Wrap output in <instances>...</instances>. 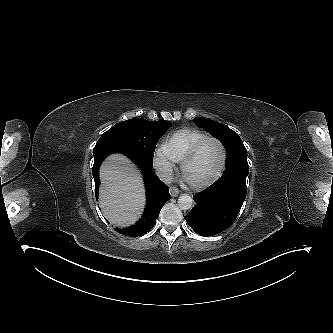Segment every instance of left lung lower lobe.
Wrapping results in <instances>:
<instances>
[{"label":"left lung lower lobe","instance_id":"left-lung-lower-lobe-1","mask_svg":"<svg viewBox=\"0 0 333 333\" xmlns=\"http://www.w3.org/2000/svg\"><path fill=\"white\" fill-rule=\"evenodd\" d=\"M193 198L197 204L184 216L187 224L201 236L216 235L235 221L246 198V181L219 179Z\"/></svg>","mask_w":333,"mask_h":333}]
</instances>
